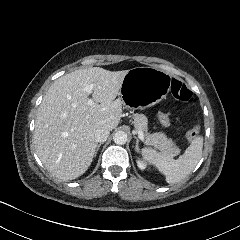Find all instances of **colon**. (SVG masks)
Returning a JSON list of instances; mask_svg holds the SVG:
<instances>
[{
	"instance_id": "obj_1",
	"label": "colon",
	"mask_w": 240,
	"mask_h": 240,
	"mask_svg": "<svg viewBox=\"0 0 240 240\" xmlns=\"http://www.w3.org/2000/svg\"><path fill=\"white\" fill-rule=\"evenodd\" d=\"M175 96L182 101H190L192 99V91L188 89L185 85L175 86L173 89ZM158 121L162 124H171V119L167 116V113H163L162 110L158 111ZM198 137V127H193V130L190 131V134H186V143H191L195 138Z\"/></svg>"
}]
</instances>
